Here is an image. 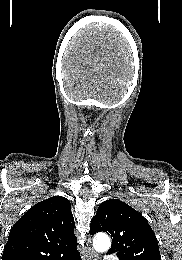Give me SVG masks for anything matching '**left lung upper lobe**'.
I'll return each mask as SVG.
<instances>
[{
  "label": "left lung upper lobe",
  "mask_w": 182,
  "mask_h": 260,
  "mask_svg": "<svg viewBox=\"0 0 182 260\" xmlns=\"http://www.w3.org/2000/svg\"><path fill=\"white\" fill-rule=\"evenodd\" d=\"M90 228V234L111 235L108 254L116 253L119 260H161L157 238L146 219L120 200L102 202Z\"/></svg>",
  "instance_id": "left-lung-upper-lobe-1"
}]
</instances>
